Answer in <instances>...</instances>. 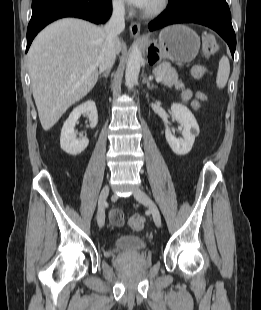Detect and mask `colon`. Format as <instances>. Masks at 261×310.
I'll return each instance as SVG.
<instances>
[{"mask_svg":"<svg viewBox=\"0 0 261 310\" xmlns=\"http://www.w3.org/2000/svg\"><path fill=\"white\" fill-rule=\"evenodd\" d=\"M219 47L215 38L211 35H206L203 38L202 54L206 58L215 56L218 53ZM205 73V69L202 65L196 64L191 69V76L193 79H200ZM122 208H112L110 211V221H112L113 227H121L124 221V214H122ZM129 226L134 230H141L145 224V218L141 214H133L129 218Z\"/></svg>","mask_w":261,"mask_h":310,"instance_id":"5ec220e1","label":"colon"}]
</instances>
